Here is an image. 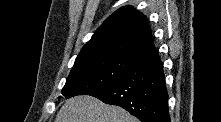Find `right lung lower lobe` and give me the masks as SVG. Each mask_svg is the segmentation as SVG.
I'll use <instances>...</instances> for the list:
<instances>
[{
	"instance_id": "98d812e1",
	"label": "right lung lower lobe",
	"mask_w": 221,
	"mask_h": 122,
	"mask_svg": "<svg viewBox=\"0 0 221 122\" xmlns=\"http://www.w3.org/2000/svg\"><path fill=\"white\" fill-rule=\"evenodd\" d=\"M89 95L126 109L142 122H170L163 64L156 49L138 59L122 78Z\"/></svg>"
}]
</instances>
